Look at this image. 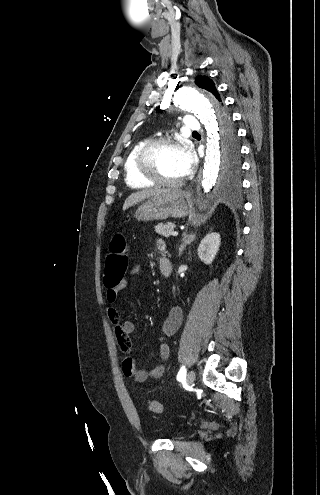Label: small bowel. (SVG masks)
Instances as JSON below:
<instances>
[{"label": "small bowel", "mask_w": 320, "mask_h": 495, "mask_svg": "<svg viewBox=\"0 0 320 495\" xmlns=\"http://www.w3.org/2000/svg\"><path fill=\"white\" fill-rule=\"evenodd\" d=\"M159 248H163L162 242L159 241ZM139 273L138 267L132 269V274L137 275ZM126 285L124 279L120 280L117 284L107 286L106 299L108 303L113 304L118 296L120 290ZM107 317L115 329L118 345L125 355L123 360V371L127 377L133 378L136 382H145L149 379H158L164 373V366L157 365L150 370L139 369L130 353L132 351L133 343L131 334L134 332V324L131 321H122L118 310L114 306H109L107 309ZM183 318L182 309L179 306L173 307L167 318L158 327L159 333V351L163 360L169 358L170 347L165 342L166 337L172 336L179 329Z\"/></svg>", "instance_id": "obj_1"}]
</instances>
